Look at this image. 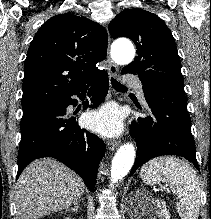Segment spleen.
<instances>
[{"label": "spleen", "mask_w": 211, "mask_h": 219, "mask_svg": "<svg viewBox=\"0 0 211 219\" xmlns=\"http://www.w3.org/2000/svg\"><path fill=\"white\" fill-rule=\"evenodd\" d=\"M142 181L148 185L164 182L180 199L177 212L181 219H198L201 188L195 170L185 161L167 156L150 160L140 169Z\"/></svg>", "instance_id": "obj_1"}]
</instances>
